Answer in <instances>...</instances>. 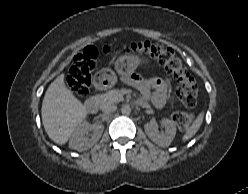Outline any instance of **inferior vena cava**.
<instances>
[{"label":"inferior vena cava","mask_w":248,"mask_h":194,"mask_svg":"<svg viewBox=\"0 0 248 194\" xmlns=\"http://www.w3.org/2000/svg\"><path fill=\"white\" fill-rule=\"evenodd\" d=\"M117 109V106L114 105V104H107V105H104L103 108H102V111L105 113V114H110L114 111H116Z\"/></svg>","instance_id":"inferior-vena-cava-1"}]
</instances>
